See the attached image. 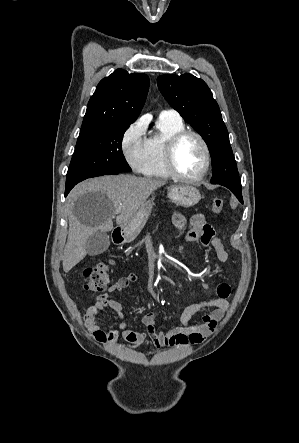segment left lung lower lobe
Segmentation results:
<instances>
[{
    "instance_id": "left-lung-lower-lobe-1",
    "label": "left lung lower lobe",
    "mask_w": 299,
    "mask_h": 443,
    "mask_svg": "<svg viewBox=\"0 0 299 443\" xmlns=\"http://www.w3.org/2000/svg\"><path fill=\"white\" fill-rule=\"evenodd\" d=\"M219 185L225 186L228 189H230L234 195L238 198V200L243 203V199H242V187H235L233 185L230 184H225V183H219Z\"/></svg>"
}]
</instances>
